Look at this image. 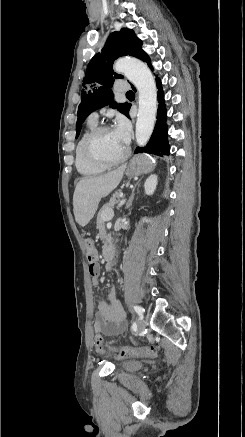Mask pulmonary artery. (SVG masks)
Returning a JSON list of instances; mask_svg holds the SVG:
<instances>
[{
	"label": "pulmonary artery",
	"instance_id": "1",
	"mask_svg": "<svg viewBox=\"0 0 245 437\" xmlns=\"http://www.w3.org/2000/svg\"><path fill=\"white\" fill-rule=\"evenodd\" d=\"M116 91L119 93L127 92L130 89V85L125 81H119L116 83ZM98 114L97 112H93L89 116V120L97 122Z\"/></svg>",
	"mask_w": 245,
	"mask_h": 437
}]
</instances>
